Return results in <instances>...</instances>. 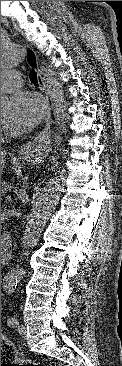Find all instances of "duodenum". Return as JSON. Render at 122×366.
Segmentation results:
<instances>
[{
	"instance_id": "410a0bca",
	"label": "duodenum",
	"mask_w": 122,
	"mask_h": 366,
	"mask_svg": "<svg viewBox=\"0 0 122 366\" xmlns=\"http://www.w3.org/2000/svg\"><path fill=\"white\" fill-rule=\"evenodd\" d=\"M11 247H12L11 237L9 235L1 236V253L10 252ZM16 278H18V275H16Z\"/></svg>"
}]
</instances>
